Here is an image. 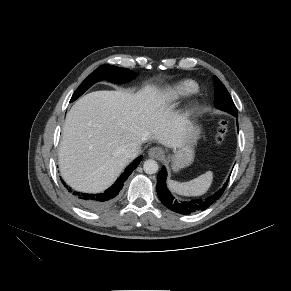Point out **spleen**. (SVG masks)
<instances>
[{
    "label": "spleen",
    "mask_w": 291,
    "mask_h": 291,
    "mask_svg": "<svg viewBox=\"0 0 291 291\" xmlns=\"http://www.w3.org/2000/svg\"><path fill=\"white\" fill-rule=\"evenodd\" d=\"M213 173L207 171L199 177L190 180L188 182H177L174 180H168V188L177 194L184 196H200L208 191L212 184Z\"/></svg>",
    "instance_id": "1"
}]
</instances>
